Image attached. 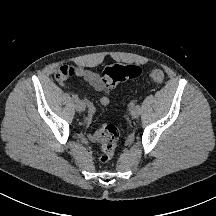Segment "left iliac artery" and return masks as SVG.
Listing matches in <instances>:
<instances>
[{"label": "left iliac artery", "mask_w": 216, "mask_h": 216, "mask_svg": "<svg viewBox=\"0 0 216 216\" xmlns=\"http://www.w3.org/2000/svg\"><path fill=\"white\" fill-rule=\"evenodd\" d=\"M135 105H136V101L133 100L130 102L129 107L133 108V107H135Z\"/></svg>", "instance_id": "44dca946"}]
</instances>
